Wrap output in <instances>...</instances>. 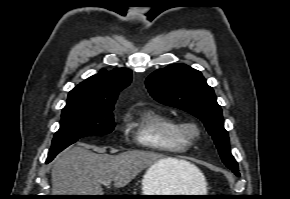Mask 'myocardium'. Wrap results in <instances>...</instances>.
<instances>
[{
    "instance_id": "1",
    "label": "myocardium",
    "mask_w": 290,
    "mask_h": 199,
    "mask_svg": "<svg viewBox=\"0 0 290 199\" xmlns=\"http://www.w3.org/2000/svg\"><path fill=\"white\" fill-rule=\"evenodd\" d=\"M176 131L189 142L195 141L201 133L196 123L187 121L176 123Z\"/></svg>"
}]
</instances>
